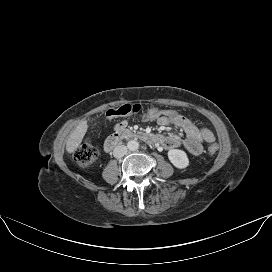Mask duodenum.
Segmentation results:
<instances>
[{"mask_svg": "<svg viewBox=\"0 0 272 272\" xmlns=\"http://www.w3.org/2000/svg\"><path fill=\"white\" fill-rule=\"evenodd\" d=\"M123 139H138L150 144H154L157 142V138L155 135L147 133L145 131L119 128L115 131L114 134L106 139L104 143L105 151L107 153L111 152Z\"/></svg>", "mask_w": 272, "mask_h": 272, "instance_id": "1", "label": "duodenum"}]
</instances>
